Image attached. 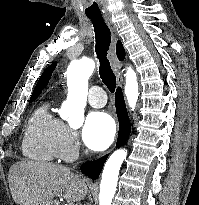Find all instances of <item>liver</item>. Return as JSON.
<instances>
[{
	"instance_id": "6515ba94",
	"label": "liver",
	"mask_w": 199,
	"mask_h": 205,
	"mask_svg": "<svg viewBox=\"0 0 199 205\" xmlns=\"http://www.w3.org/2000/svg\"><path fill=\"white\" fill-rule=\"evenodd\" d=\"M8 181L13 200L19 205H59L54 198L60 195L67 202H78L88 192L85 178L68 167L48 162H16L9 170Z\"/></svg>"
}]
</instances>
